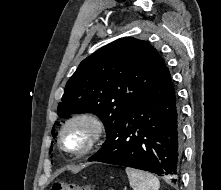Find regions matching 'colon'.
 <instances>
[{"instance_id":"obj_1","label":"colon","mask_w":221,"mask_h":190,"mask_svg":"<svg viewBox=\"0 0 221 190\" xmlns=\"http://www.w3.org/2000/svg\"><path fill=\"white\" fill-rule=\"evenodd\" d=\"M51 190H91L90 186H82L78 184H69L62 181H55L51 186Z\"/></svg>"}]
</instances>
